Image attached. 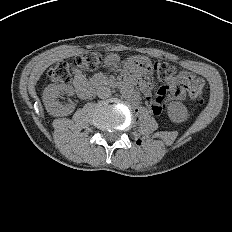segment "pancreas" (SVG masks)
<instances>
[{"mask_svg": "<svg viewBox=\"0 0 232 232\" xmlns=\"http://www.w3.org/2000/svg\"><path fill=\"white\" fill-rule=\"evenodd\" d=\"M95 79H96L97 81H101V80L107 81V79H105V78L103 77V75H101V74L97 75V76L95 77Z\"/></svg>", "mask_w": 232, "mask_h": 232, "instance_id": "1", "label": "pancreas"}]
</instances>
